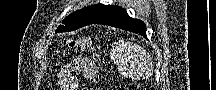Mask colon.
<instances>
[{
	"label": "colon",
	"mask_w": 216,
	"mask_h": 90,
	"mask_svg": "<svg viewBox=\"0 0 216 90\" xmlns=\"http://www.w3.org/2000/svg\"><path fill=\"white\" fill-rule=\"evenodd\" d=\"M64 42L67 45L83 47L86 41L84 39H65Z\"/></svg>",
	"instance_id": "obj_1"
}]
</instances>
